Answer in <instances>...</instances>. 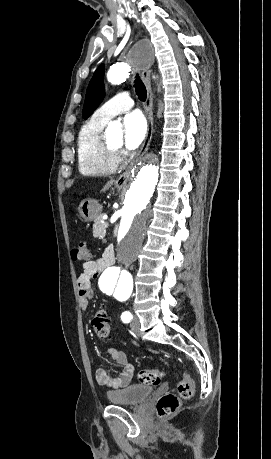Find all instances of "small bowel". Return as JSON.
Here are the masks:
<instances>
[{"mask_svg": "<svg viewBox=\"0 0 271 459\" xmlns=\"http://www.w3.org/2000/svg\"><path fill=\"white\" fill-rule=\"evenodd\" d=\"M111 263L108 253H104L101 258L86 261L83 264V272L78 278V292L81 306L86 309L92 296L91 282L105 270ZM107 356L120 366V372L117 376L112 377L108 371L102 367L96 369L95 378L99 385L107 386L112 389H119L130 384L134 367L128 361L124 352L115 347H110L106 352Z\"/></svg>", "mask_w": 271, "mask_h": 459, "instance_id": "obj_1", "label": "small bowel"}]
</instances>
